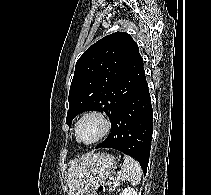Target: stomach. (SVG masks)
<instances>
[{"label": "stomach", "mask_w": 211, "mask_h": 195, "mask_svg": "<svg viewBox=\"0 0 211 195\" xmlns=\"http://www.w3.org/2000/svg\"><path fill=\"white\" fill-rule=\"evenodd\" d=\"M117 160L110 154H101L92 158L87 166V174L80 195H93L92 189L114 172Z\"/></svg>", "instance_id": "stomach-1"}]
</instances>
